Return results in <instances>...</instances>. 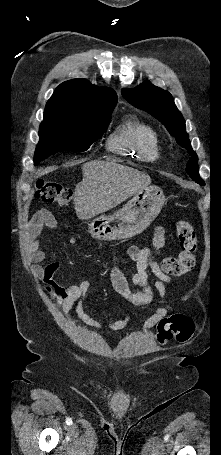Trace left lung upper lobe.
I'll use <instances>...</instances> for the list:
<instances>
[{"mask_svg": "<svg viewBox=\"0 0 221 455\" xmlns=\"http://www.w3.org/2000/svg\"><path fill=\"white\" fill-rule=\"evenodd\" d=\"M122 95L133 106L147 111L161 121L176 141L188 150L191 158L186 171L193 180L204 185L198 172L197 155L191 148L189 135L186 133L184 118L175 106L171 94L146 81L134 89H122Z\"/></svg>", "mask_w": 221, "mask_h": 455, "instance_id": "left-lung-upper-lobe-1", "label": "left lung upper lobe"}]
</instances>
